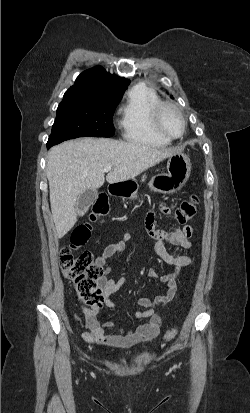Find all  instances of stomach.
Masks as SVG:
<instances>
[{"instance_id":"stomach-1","label":"stomach","mask_w":250,"mask_h":413,"mask_svg":"<svg viewBox=\"0 0 250 413\" xmlns=\"http://www.w3.org/2000/svg\"><path fill=\"white\" fill-rule=\"evenodd\" d=\"M191 163L187 155L176 152L167 162V173L152 178L149 187L164 194H173L180 191L189 179ZM123 198L136 199L137 184L133 180L125 181L119 192Z\"/></svg>"}]
</instances>
